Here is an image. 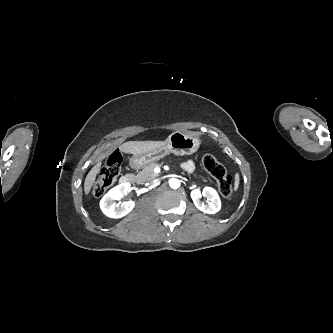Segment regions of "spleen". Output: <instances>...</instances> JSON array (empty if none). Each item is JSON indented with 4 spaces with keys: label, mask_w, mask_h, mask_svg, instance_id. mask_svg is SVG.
<instances>
[{
    "label": "spleen",
    "mask_w": 333,
    "mask_h": 333,
    "mask_svg": "<svg viewBox=\"0 0 333 333\" xmlns=\"http://www.w3.org/2000/svg\"><path fill=\"white\" fill-rule=\"evenodd\" d=\"M238 186H239V174L236 173L235 174V182H234V188H235V190H237Z\"/></svg>",
    "instance_id": "obj_1"
}]
</instances>
